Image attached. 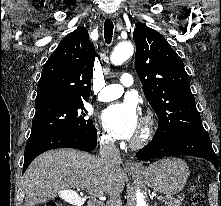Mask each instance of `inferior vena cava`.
Masks as SVG:
<instances>
[{
    "label": "inferior vena cava",
    "mask_w": 221,
    "mask_h": 206,
    "mask_svg": "<svg viewBox=\"0 0 221 206\" xmlns=\"http://www.w3.org/2000/svg\"><path fill=\"white\" fill-rule=\"evenodd\" d=\"M100 159L109 164L121 163L120 152L116 148L114 140L111 138H104L100 141ZM106 206H122V201L119 195H111L107 201Z\"/></svg>",
    "instance_id": "inferior-vena-cava-1"
}]
</instances>
